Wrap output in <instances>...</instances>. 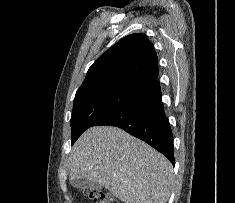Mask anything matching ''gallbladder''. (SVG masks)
Wrapping results in <instances>:
<instances>
[{"mask_svg":"<svg viewBox=\"0 0 235 203\" xmlns=\"http://www.w3.org/2000/svg\"><path fill=\"white\" fill-rule=\"evenodd\" d=\"M72 185L79 189H88V190H97L100 188V185L98 183L91 182L86 179L72 180Z\"/></svg>","mask_w":235,"mask_h":203,"instance_id":"gallbladder-1","label":"gallbladder"}]
</instances>
